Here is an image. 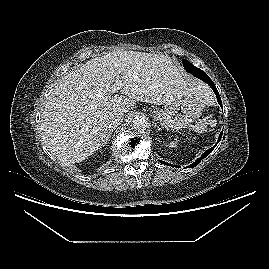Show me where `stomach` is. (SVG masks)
Masks as SVG:
<instances>
[{
    "label": "stomach",
    "instance_id": "obj_1",
    "mask_svg": "<svg viewBox=\"0 0 269 269\" xmlns=\"http://www.w3.org/2000/svg\"><path fill=\"white\" fill-rule=\"evenodd\" d=\"M202 110L203 103L190 96L175 100L164 109H155L153 116L163 128L179 130L195 122Z\"/></svg>",
    "mask_w": 269,
    "mask_h": 269
}]
</instances>
